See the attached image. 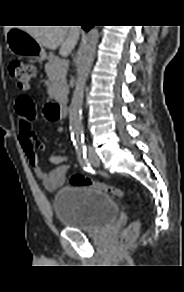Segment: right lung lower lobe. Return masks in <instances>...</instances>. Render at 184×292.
I'll return each instance as SVG.
<instances>
[{
    "mask_svg": "<svg viewBox=\"0 0 184 292\" xmlns=\"http://www.w3.org/2000/svg\"><path fill=\"white\" fill-rule=\"evenodd\" d=\"M92 26H88V25H83L82 28L85 30V31H88Z\"/></svg>",
    "mask_w": 184,
    "mask_h": 292,
    "instance_id": "1",
    "label": "right lung lower lobe"
}]
</instances>
